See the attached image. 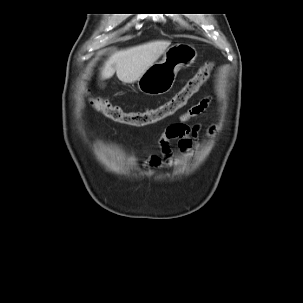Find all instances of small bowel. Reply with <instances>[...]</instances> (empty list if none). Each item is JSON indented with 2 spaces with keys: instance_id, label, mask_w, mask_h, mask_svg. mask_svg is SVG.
<instances>
[{
  "instance_id": "small-bowel-1",
  "label": "small bowel",
  "mask_w": 303,
  "mask_h": 303,
  "mask_svg": "<svg viewBox=\"0 0 303 303\" xmlns=\"http://www.w3.org/2000/svg\"><path fill=\"white\" fill-rule=\"evenodd\" d=\"M208 106V100L202 99L199 103L188 109L182 114L178 122L168 125L161 135L158 145L160 154L151 155L147 162L152 167H163L173 164V150L170 146V140L176 139L177 146L181 152L188 151L198 137V126L192 123V119L202 115ZM139 160L138 157L129 159L130 164H134Z\"/></svg>"
}]
</instances>
